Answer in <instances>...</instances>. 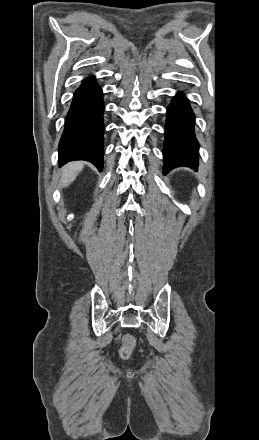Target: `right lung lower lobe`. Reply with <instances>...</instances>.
I'll return each instance as SVG.
<instances>
[{
	"label": "right lung lower lobe",
	"instance_id": "obj_1",
	"mask_svg": "<svg viewBox=\"0 0 259 440\" xmlns=\"http://www.w3.org/2000/svg\"><path fill=\"white\" fill-rule=\"evenodd\" d=\"M103 111L101 88L95 78L85 79L75 91L59 142V166L86 160L103 167Z\"/></svg>",
	"mask_w": 259,
	"mask_h": 440
}]
</instances>
